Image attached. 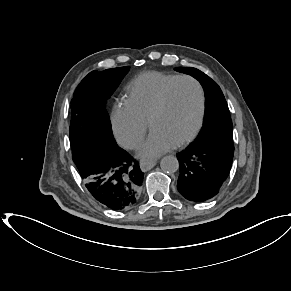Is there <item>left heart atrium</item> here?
Here are the masks:
<instances>
[{
  "instance_id": "1",
  "label": "left heart atrium",
  "mask_w": 291,
  "mask_h": 291,
  "mask_svg": "<svg viewBox=\"0 0 291 291\" xmlns=\"http://www.w3.org/2000/svg\"><path fill=\"white\" fill-rule=\"evenodd\" d=\"M176 147V143L159 131L152 130L148 139L142 144L138 157L144 162L152 161Z\"/></svg>"
}]
</instances>
